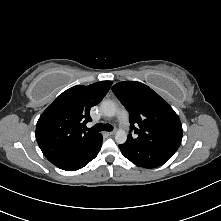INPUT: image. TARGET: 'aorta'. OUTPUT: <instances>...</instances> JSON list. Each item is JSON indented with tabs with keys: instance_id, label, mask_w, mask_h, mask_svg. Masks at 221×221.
Returning <instances> with one entry per match:
<instances>
[{
	"instance_id": "762f6f07",
	"label": "aorta",
	"mask_w": 221,
	"mask_h": 221,
	"mask_svg": "<svg viewBox=\"0 0 221 221\" xmlns=\"http://www.w3.org/2000/svg\"><path fill=\"white\" fill-rule=\"evenodd\" d=\"M101 113L106 117H113L116 114V105L110 100H105L100 105ZM127 140V134L125 130L118 129L115 134V141L118 144H124Z\"/></svg>"
}]
</instances>
